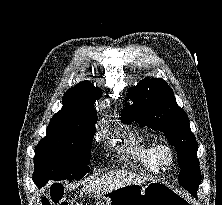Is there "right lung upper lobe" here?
<instances>
[{
	"mask_svg": "<svg viewBox=\"0 0 222 205\" xmlns=\"http://www.w3.org/2000/svg\"><path fill=\"white\" fill-rule=\"evenodd\" d=\"M102 91L90 81H82L69 89L63 97V108L53 116L54 123H81L97 121L94 103Z\"/></svg>",
	"mask_w": 222,
	"mask_h": 205,
	"instance_id": "cb5924a9",
	"label": "right lung upper lobe"
}]
</instances>
